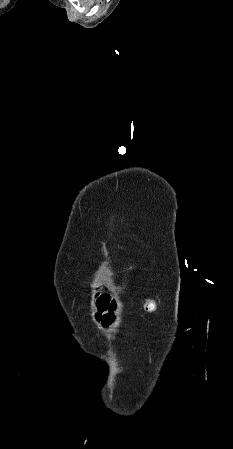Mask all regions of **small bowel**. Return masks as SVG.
<instances>
[{"mask_svg":"<svg viewBox=\"0 0 233 449\" xmlns=\"http://www.w3.org/2000/svg\"><path fill=\"white\" fill-rule=\"evenodd\" d=\"M108 297H109V296H108ZM102 310H104V309H102ZM107 320L110 321V323H111L110 326H111V325L113 324V321H114V320H113V319H104V321H107Z\"/></svg>","mask_w":233,"mask_h":449,"instance_id":"obj_1","label":"small bowel"}]
</instances>
